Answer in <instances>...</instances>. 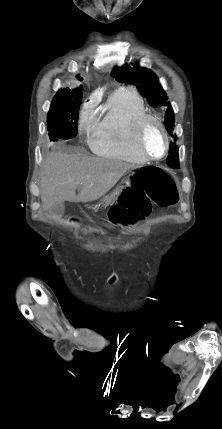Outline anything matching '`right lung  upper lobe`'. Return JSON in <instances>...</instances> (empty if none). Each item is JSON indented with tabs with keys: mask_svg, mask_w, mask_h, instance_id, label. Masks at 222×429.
<instances>
[{
	"mask_svg": "<svg viewBox=\"0 0 222 429\" xmlns=\"http://www.w3.org/2000/svg\"><path fill=\"white\" fill-rule=\"evenodd\" d=\"M78 79L81 80L79 77H78ZM70 91H71V89L67 87V88L60 89L57 94H65V93H68Z\"/></svg>",
	"mask_w": 222,
	"mask_h": 429,
	"instance_id": "right-lung-upper-lobe-1",
	"label": "right lung upper lobe"
}]
</instances>
